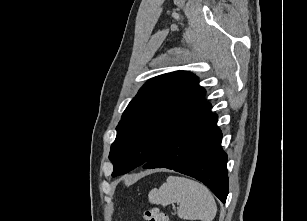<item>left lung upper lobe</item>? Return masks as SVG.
Returning a JSON list of instances; mask_svg holds the SVG:
<instances>
[{
	"label": "left lung upper lobe",
	"mask_w": 307,
	"mask_h": 221,
	"mask_svg": "<svg viewBox=\"0 0 307 221\" xmlns=\"http://www.w3.org/2000/svg\"><path fill=\"white\" fill-rule=\"evenodd\" d=\"M198 78L175 71L150 79L125 109L109 159L112 176L144 165L170 140L206 115L211 104Z\"/></svg>",
	"instance_id": "obj_1"
}]
</instances>
